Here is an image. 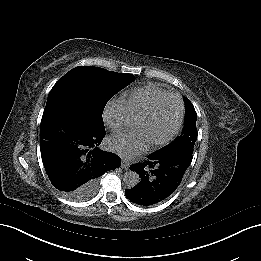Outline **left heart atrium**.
<instances>
[{
	"instance_id": "left-heart-atrium-1",
	"label": "left heart atrium",
	"mask_w": 261,
	"mask_h": 261,
	"mask_svg": "<svg viewBox=\"0 0 261 261\" xmlns=\"http://www.w3.org/2000/svg\"><path fill=\"white\" fill-rule=\"evenodd\" d=\"M113 146L123 156L134 158L147 150L145 141L132 133H120L113 139Z\"/></svg>"
}]
</instances>
